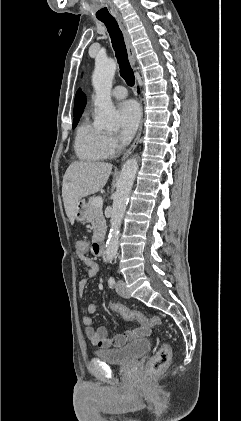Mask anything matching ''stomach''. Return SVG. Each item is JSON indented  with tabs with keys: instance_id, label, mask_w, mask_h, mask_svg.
<instances>
[{
	"instance_id": "obj_1",
	"label": "stomach",
	"mask_w": 241,
	"mask_h": 421,
	"mask_svg": "<svg viewBox=\"0 0 241 421\" xmlns=\"http://www.w3.org/2000/svg\"><path fill=\"white\" fill-rule=\"evenodd\" d=\"M74 218L79 222H83V221L86 220V218H87V204L84 200H80L77 203Z\"/></svg>"
}]
</instances>
